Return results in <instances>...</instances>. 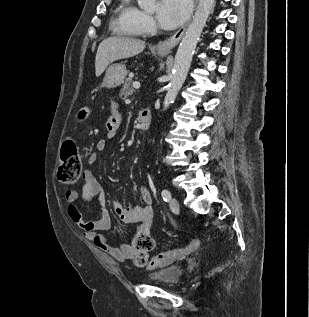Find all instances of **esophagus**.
I'll return each mask as SVG.
<instances>
[{
	"label": "esophagus",
	"mask_w": 309,
	"mask_h": 317,
	"mask_svg": "<svg viewBox=\"0 0 309 317\" xmlns=\"http://www.w3.org/2000/svg\"><path fill=\"white\" fill-rule=\"evenodd\" d=\"M197 1L198 0H195V5L197 4ZM188 22L185 25H183L178 31H176L171 37L167 38L163 42H160L157 45V50L163 53L170 52V50L173 49L181 40L188 25Z\"/></svg>",
	"instance_id": "esophagus-1"
}]
</instances>
